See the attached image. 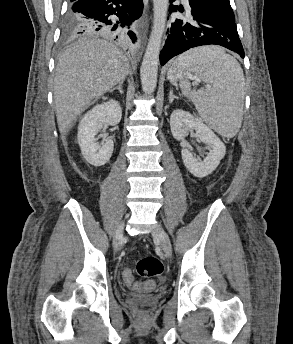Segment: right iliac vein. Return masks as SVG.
<instances>
[{
    "instance_id": "right-iliac-vein-1",
    "label": "right iliac vein",
    "mask_w": 293,
    "mask_h": 344,
    "mask_svg": "<svg viewBox=\"0 0 293 344\" xmlns=\"http://www.w3.org/2000/svg\"><path fill=\"white\" fill-rule=\"evenodd\" d=\"M124 222L121 223L116 231L115 237H114V250L117 252L119 250V240L123 237L124 234Z\"/></svg>"
}]
</instances>
